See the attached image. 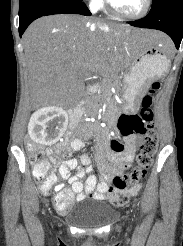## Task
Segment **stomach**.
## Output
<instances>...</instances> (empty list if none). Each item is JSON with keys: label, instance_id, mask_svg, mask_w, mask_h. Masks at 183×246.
Instances as JSON below:
<instances>
[{"label": "stomach", "instance_id": "stomach-1", "mask_svg": "<svg viewBox=\"0 0 183 246\" xmlns=\"http://www.w3.org/2000/svg\"><path fill=\"white\" fill-rule=\"evenodd\" d=\"M144 61V62H140ZM170 60L158 45L134 42L131 61L124 69V96L126 109L137 111L149 82L163 76L169 69Z\"/></svg>", "mask_w": 183, "mask_h": 246}]
</instances>
